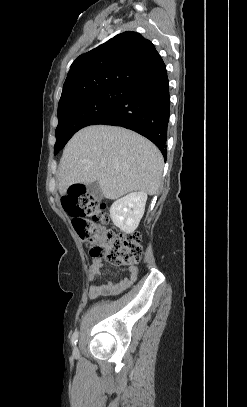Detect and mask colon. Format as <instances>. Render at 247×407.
I'll list each match as a JSON object with an SVG mask.
<instances>
[{
    "label": "colon",
    "mask_w": 247,
    "mask_h": 407,
    "mask_svg": "<svg viewBox=\"0 0 247 407\" xmlns=\"http://www.w3.org/2000/svg\"><path fill=\"white\" fill-rule=\"evenodd\" d=\"M73 227L94 257H103L113 266L135 267L142 259L141 234H118L107 228L106 205L83 186H72L62 198Z\"/></svg>",
    "instance_id": "obj_1"
}]
</instances>
